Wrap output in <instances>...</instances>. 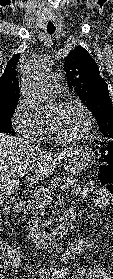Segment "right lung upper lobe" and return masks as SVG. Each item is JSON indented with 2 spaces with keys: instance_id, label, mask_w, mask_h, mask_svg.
<instances>
[{
  "instance_id": "cb5924a9",
  "label": "right lung upper lobe",
  "mask_w": 113,
  "mask_h": 279,
  "mask_svg": "<svg viewBox=\"0 0 113 279\" xmlns=\"http://www.w3.org/2000/svg\"><path fill=\"white\" fill-rule=\"evenodd\" d=\"M20 54L14 55L7 63L3 75L0 77V109L16 106L19 98V86L16 74V63Z\"/></svg>"
}]
</instances>
